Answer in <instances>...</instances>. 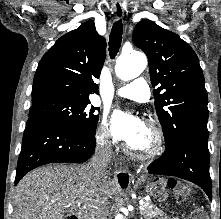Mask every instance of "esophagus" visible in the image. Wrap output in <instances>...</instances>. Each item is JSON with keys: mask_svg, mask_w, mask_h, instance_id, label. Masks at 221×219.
<instances>
[{"mask_svg": "<svg viewBox=\"0 0 221 219\" xmlns=\"http://www.w3.org/2000/svg\"><path fill=\"white\" fill-rule=\"evenodd\" d=\"M114 15L117 20L124 17V9L121 3H115L114 6Z\"/></svg>", "mask_w": 221, "mask_h": 219, "instance_id": "34e87169", "label": "esophagus"}]
</instances>
